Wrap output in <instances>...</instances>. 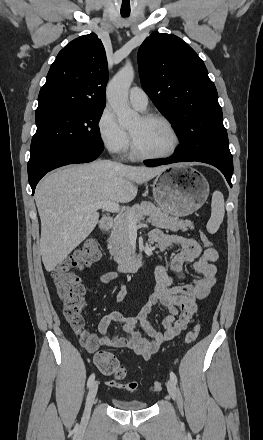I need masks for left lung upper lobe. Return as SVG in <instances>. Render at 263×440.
<instances>
[{
    "label": "left lung upper lobe",
    "mask_w": 263,
    "mask_h": 440,
    "mask_svg": "<svg viewBox=\"0 0 263 440\" xmlns=\"http://www.w3.org/2000/svg\"><path fill=\"white\" fill-rule=\"evenodd\" d=\"M138 64L143 89L181 139L178 154L198 158L230 152L216 87L187 43L152 33L139 48Z\"/></svg>",
    "instance_id": "5c2ea615"
}]
</instances>
